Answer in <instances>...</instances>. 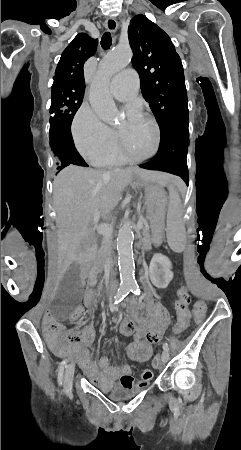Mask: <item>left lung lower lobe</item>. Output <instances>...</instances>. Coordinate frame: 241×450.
I'll list each match as a JSON object with an SVG mask.
<instances>
[{"mask_svg":"<svg viewBox=\"0 0 241 450\" xmlns=\"http://www.w3.org/2000/svg\"><path fill=\"white\" fill-rule=\"evenodd\" d=\"M188 125V112L175 116L161 129L160 147L156 156L140 167L178 175L188 185L189 175L186 161Z\"/></svg>","mask_w":241,"mask_h":450,"instance_id":"left-lung-lower-lobe-1","label":"left lung lower lobe"}]
</instances>
